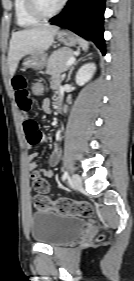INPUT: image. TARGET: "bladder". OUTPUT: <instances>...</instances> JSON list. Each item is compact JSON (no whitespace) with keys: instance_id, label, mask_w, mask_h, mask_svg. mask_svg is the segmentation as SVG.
<instances>
[{"instance_id":"31cf9c89","label":"bladder","mask_w":134,"mask_h":281,"mask_svg":"<svg viewBox=\"0 0 134 281\" xmlns=\"http://www.w3.org/2000/svg\"><path fill=\"white\" fill-rule=\"evenodd\" d=\"M85 226V220L77 216L37 211L32 215L30 231L34 241L58 247L74 241Z\"/></svg>"}]
</instances>
